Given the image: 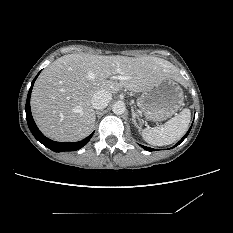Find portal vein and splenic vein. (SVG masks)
<instances>
[{"label":"portal vein and splenic vein","instance_id":"18ae733b","mask_svg":"<svg viewBox=\"0 0 233 233\" xmlns=\"http://www.w3.org/2000/svg\"><path fill=\"white\" fill-rule=\"evenodd\" d=\"M115 79H123L121 76H116V77H114Z\"/></svg>","mask_w":233,"mask_h":233}]
</instances>
